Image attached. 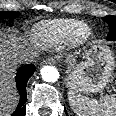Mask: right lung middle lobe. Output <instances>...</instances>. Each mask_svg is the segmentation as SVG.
<instances>
[{
	"instance_id": "1",
	"label": "right lung middle lobe",
	"mask_w": 116,
	"mask_h": 116,
	"mask_svg": "<svg viewBox=\"0 0 116 116\" xmlns=\"http://www.w3.org/2000/svg\"><path fill=\"white\" fill-rule=\"evenodd\" d=\"M16 16L17 14L14 11H1L0 12V19L13 20Z\"/></svg>"
}]
</instances>
